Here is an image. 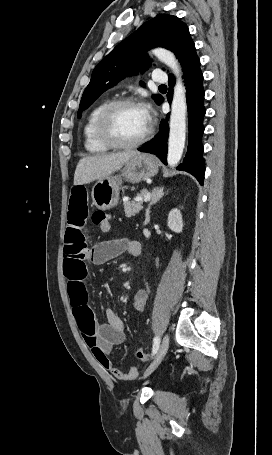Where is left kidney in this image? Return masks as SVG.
I'll list each match as a JSON object with an SVG mask.
<instances>
[{"instance_id":"1","label":"left kidney","mask_w":272,"mask_h":455,"mask_svg":"<svg viewBox=\"0 0 272 455\" xmlns=\"http://www.w3.org/2000/svg\"><path fill=\"white\" fill-rule=\"evenodd\" d=\"M168 227L177 233H180L183 228V220L181 212L178 209H173L168 215Z\"/></svg>"}]
</instances>
